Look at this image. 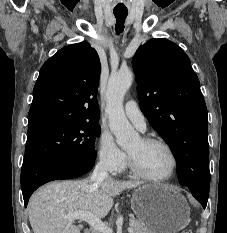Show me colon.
<instances>
[{"instance_id": "1", "label": "colon", "mask_w": 227, "mask_h": 233, "mask_svg": "<svg viewBox=\"0 0 227 233\" xmlns=\"http://www.w3.org/2000/svg\"><path fill=\"white\" fill-rule=\"evenodd\" d=\"M179 233H192V231L188 228L182 229Z\"/></svg>"}]
</instances>
